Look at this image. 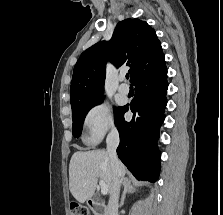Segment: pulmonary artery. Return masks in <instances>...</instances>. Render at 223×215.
Here are the masks:
<instances>
[{
	"label": "pulmonary artery",
	"instance_id": "obj_1",
	"mask_svg": "<svg viewBox=\"0 0 223 215\" xmlns=\"http://www.w3.org/2000/svg\"><path fill=\"white\" fill-rule=\"evenodd\" d=\"M124 80H125V77L124 75H120L119 77V81L121 82L118 86V91L121 93V94H128L129 92V86L124 83Z\"/></svg>",
	"mask_w": 223,
	"mask_h": 215
}]
</instances>
